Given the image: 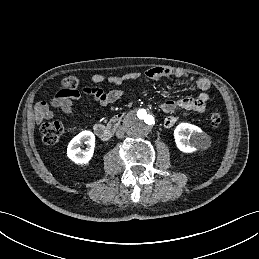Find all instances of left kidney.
I'll return each instance as SVG.
<instances>
[{
  "mask_svg": "<svg viewBox=\"0 0 259 259\" xmlns=\"http://www.w3.org/2000/svg\"><path fill=\"white\" fill-rule=\"evenodd\" d=\"M174 138L180 151L191 153L202 147V140L206 135L198 126L180 123L174 130Z\"/></svg>",
  "mask_w": 259,
  "mask_h": 259,
  "instance_id": "left-kidney-1",
  "label": "left kidney"
}]
</instances>
